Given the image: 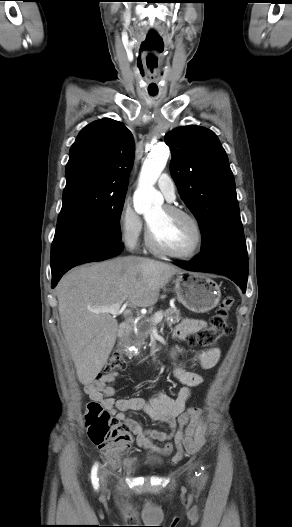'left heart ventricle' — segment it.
<instances>
[{
	"mask_svg": "<svg viewBox=\"0 0 292 527\" xmlns=\"http://www.w3.org/2000/svg\"><path fill=\"white\" fill-rule=\"evenodd\" d=\"M147 221L156 241L163 247L186 252L194 245L195 228L186 217L169 213L161 206L148 214Z\"/></svg>",
	"mask_w": 292,
	"mask_h": 527,
	"instance_id": "left-heart-ventricle-1",
	"label": "left heart ventricle"
}]
</instances>
